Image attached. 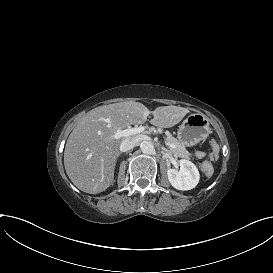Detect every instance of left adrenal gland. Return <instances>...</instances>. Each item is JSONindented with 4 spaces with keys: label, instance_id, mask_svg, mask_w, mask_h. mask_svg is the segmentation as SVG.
Wrapping results in <instances>:
<instances>
[{
    "label": "left adrenal gland",
    "instance_id": "1",
    "mask_svg": "<svg viewBox=\"0 0 273 273\" xmlns=\"http://www.w3.org/2000/svg\"><path fill=\"white\" fill-rule=\"evenodd\" d=\"M162 149H163V151L168 152V150L166 148L162 147Z\"/></svg>",
    "mask_w": 273,
    "mask_h": 273
}]
</instances>
